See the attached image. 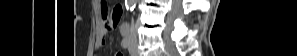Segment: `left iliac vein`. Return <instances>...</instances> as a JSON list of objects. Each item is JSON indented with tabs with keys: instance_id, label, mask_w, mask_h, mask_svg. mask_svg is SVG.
Instances as JSON below:
<instances>
[{
	"instance_id": "obj_1",
	"label": "left iliac vein",
	"mask_w": 297,
	"mask_h": 56,
	"mask_svg": "<svg viewBox=\"0 0 297 56\" xmlns=\"http://www.w3.org/2000/svg\"><path fill=\"white\" fill-rule=\"evenodd\" d=\"M129 51L132 56H138L137 45L134 42L130 43Z\"/></svg>"
}]
</instances>
